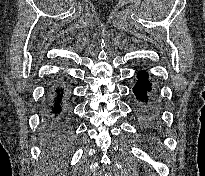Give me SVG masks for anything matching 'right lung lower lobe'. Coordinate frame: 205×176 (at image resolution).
Here are the masks:
<instances>
[{
  "label": "right lung lower lobe",
  "instance_id": "98d812e1",
  "mask_svg": "<svg viewBox=\"0 0 205 176\" xmlns=\"http://www.w3.org/2000/svg\"><path fill=\"white\" fill-rule=\"evenodd\" d=\"M67 101V86L63 82L54 85L48 98L42 130V143L49 151L60 152L69 146Z\"/></svg>",
  "mask_w": 205,
  "mask_h": 176
}]
</instances>
